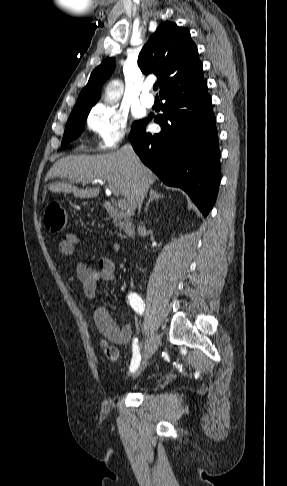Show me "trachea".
Instances as JSON below:
<instances>
[{"mask_svg":"<svg viewBox=\"0 0 287 486\" xmlns=\"http://www.w3.org/2000/svg\"><path fill=\"white\" fill-rule=\"evenodd\" d=\"M153 89L154 90H157L158 89V84L157 83L154 84Z\"/></svg>","mask_w":287,"mask_h":486,"instance_id":"obj_1","label":"trachea"}]
</instances>
